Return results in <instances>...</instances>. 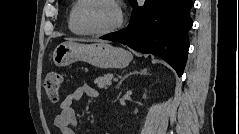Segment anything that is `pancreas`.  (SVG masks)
<instances>
[{"instance_id":"1","label":"pancreas","mask_w":239,"mask_h":134,"mask_svg":"<svg viewBox=\"0 0 239 134\" xmlns=\"http://www.w3.org/2000/svg\"><path fill=\"white\" fill-rule=\"evenodd\" d=\"M114 78L113 74H106L103 77H98L94 80V83L97 87L103 89L108 88L112 84V79Z\"/></svg>"}]
</instances>
